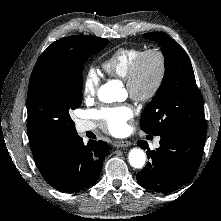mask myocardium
Wrapping results in <instances>:
<instances>
[{
  "label": "myocardium",
  "instance_id": "myocardium-1",
  "mask_svg": "<svg viewBox=\"0 0 221 221\" xmlns=\"http://www.w3.org/2000/svg\"><path fill=\"white\" fill-rule=\"evenodd\" d=\"M153 57L157 61L158 72L153 84L146 90L140 87V78L146 60ZM167 76V59L159 48H150L143 51L134 62L127 77L126 88L130 97L137 103L145 104L152 101L160 92Z\"/></svg>",
  "mask_w": 221,
  "mask_h": 221
}]
</instances>
